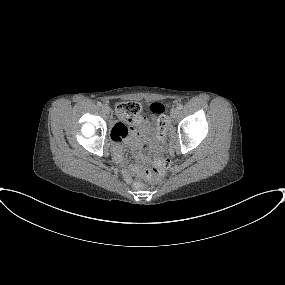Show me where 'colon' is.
Returning a JSON list of instances; mask_svg holds the SVG:
<instances>
[{
    "label": "colon",
    "instance_id": "obj_1",
    "mask_svg": "<svg viewBox=\"0 0 285 285\" xmlns=\"http://www.w3.org/2000/svg\"><path fill=\"white\" fill-rule=\"evenodd\" d=\"M149 110L157 118V127L155 130L156 138L160 141H165L167 138V130L169 125V119L165 114V107L159 102L152 103ZM142 106L138 101L130 100L121 102L116 106V115L124 120L128 127H130L136 120L142 116ZM143 151L139 153L142 155ZM171 164L168 158L158 157L154 160L151 169L144 168L140 171V175L133 179V186L139 188L145 181H157L161 179L168 172ZM130 170L135 172L136 166L131 165Z\"/></svg>",
    "mask_w": 285,
    "mask_h": 285
}]
</instances>
